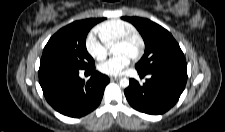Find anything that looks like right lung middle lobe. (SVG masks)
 <instances>
[{
  "mask_svg": "<svg viewBox=\"0 0 225 132\" xmlns=\"http://www.w3.org/2000/svg\"><path fill=\"white\" fill-rule=\"evenodd\" d=\"M102 18L75 21L55 33L46 44L40 66H63L87 69L94 66L93 58L86 49L89 30Z\"/></svg>",
  "mask_w": 225,
  "mask_h": 132,
  "instance_id": "obj_1",
  "label": "right lung middle lobe"
}]
</instances>
